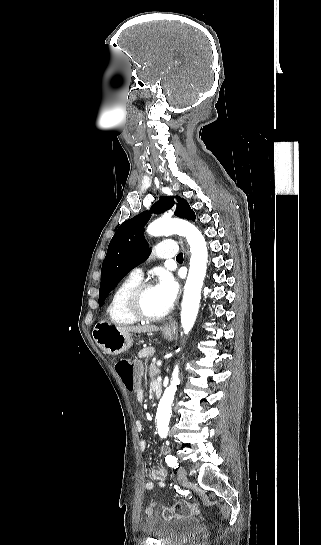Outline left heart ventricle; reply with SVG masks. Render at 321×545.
I'll list each match as a JSON object with an SVG mask.
<instances>
[{
    "label": "left heart ventricle",
    "instance_id": "left-heart-ventricle-1",
    "mask_svg": "<svg viewBox=\"0 0 321 545\" xmlns=\"http://www.w3.org/2000/svg\"><path fill=\"white\" fill-rule=\"evenodd\" d=\"M139 304L141 310L148 314H162L168 311L154 287L142 294Z\"/></svg>",
    "mask_w": 321,
    "mask_h": 545
}]
</instances>
